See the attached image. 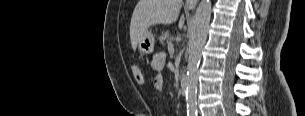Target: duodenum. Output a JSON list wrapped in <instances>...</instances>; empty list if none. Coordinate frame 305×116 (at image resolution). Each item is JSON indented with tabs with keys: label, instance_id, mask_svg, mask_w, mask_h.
Returning <instances> with one entry per match:
<instances>
[{
	"label": "duodenum",
	"instance_id": "1",
	"mask_svg": "<svg viewBox=\"0 0 305 116\" xmlns=\"http://www.w3.org/2000/svg\"><path fill=\"white\" fill-rule=\"evenodd\" d=\"M187 88H188V82H187L186 77L183 75L181 77V82H180V94L182 96H184L186 94Z\"/></svg>",
	"mask_w": 305,
	"mask_h": 116
}]
</instances>
